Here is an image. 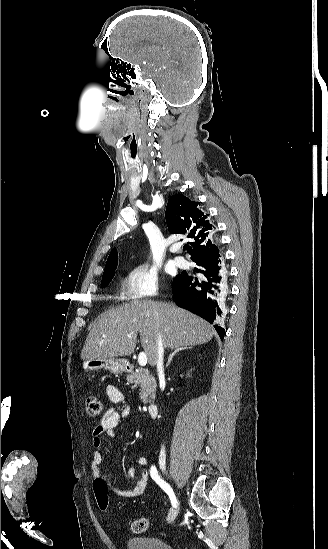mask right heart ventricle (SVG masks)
<instances>
[{"label": "right heart ventricle", "mask_w": 328, "mask_h": 549, "mask_svg": "<svg viewBox=\"0 0 328 549\" xmlns=\"http://www.w3.org/2000/svg\"><path fill=\"white\" fill-rule=\"evenodd\" d=\"M123 300H124V299H123V296H122L121 292L118 293V294L115 296V301H116V303H122Z\"/></svg>", "instance_id": "right-heart-ventricle-1"}]
</instances>
